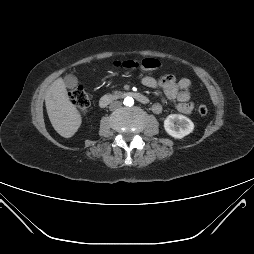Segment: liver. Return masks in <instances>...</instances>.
Listing matches in <instances>:
<instances>
[{
  "instance_id": "6515ba94",
  "label": "liver",
  "mask_w": 254,
  "mask_h": 254,
  "mask_svg": "<svg viewBox=\"0 0 254 254\" xmlns=\"http://www.w3.org/2000/svg\"><path fill=\"white\" fill-rule=\"evenodd\" d=\"M45 105L56 132L64 138L72 137L80 127L82 118L70 101L62 78L55 80L49 87L45 96Z\"/></svg>"
}]
</instances>
